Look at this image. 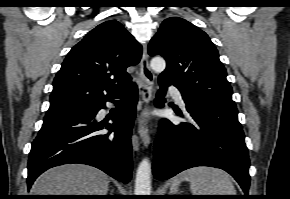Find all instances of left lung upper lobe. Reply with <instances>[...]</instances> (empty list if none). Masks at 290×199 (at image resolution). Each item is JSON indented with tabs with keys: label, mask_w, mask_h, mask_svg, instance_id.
<instances>
[{
	"label": "left lung upper lobe",
	"mask_w": 290,
	"mask_h": 199,
	"mask_svg": "<svg viewBox=\"0 0 290 199\" xmlns=\"http://www.w3.org/2000/svg\"><path fill=\"white\" fill-rule=\"evenodd\" d=\"M148 52L165 58L167 67L159 80L176 86L182 95L236 108L217 49L207 34L190 22L179 17L164 20Z\"/></svg>",
	"instance_id": "5c2ea615"
}]
</instances>
